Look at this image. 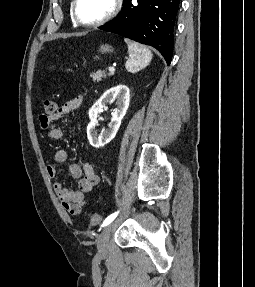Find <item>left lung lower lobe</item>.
<instances>
[{
    "label": "left lung lower lobe",
    "instance_id": "1",
    "mask_svg": "<svg viewBox=\"0 0 255 287\" xmlns=\"http://www.w3.org/2000/svg\"><path fill=\"white\" fill-rule=\"evenodd\" d=\"M136 1L123 0L120 14L100 29L153 46L170 64L175 20L181 0Z\"/></svg>",
    "mask_w": 255,
    "mask_h": 287
}]
</instances>
